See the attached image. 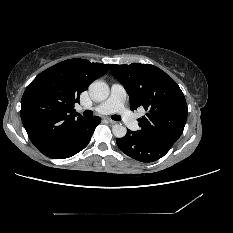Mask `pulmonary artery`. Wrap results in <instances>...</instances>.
Listing matches in <instances>:
<instances>
[{
	"label": "pulmonary artery",
	"instance_id": "1",
	"mask_svg": "<svg viewBox=\"0 0 233 233\" xmlns=\"http://www.w3.org/2000/svg\"><path fill=\"white\" fill-rule=\"evenodd\" d=\"M126 91L120 84H113L109 97L98 105L95 110L100 114L117 112L123 122L133 130L139 128L137 118L125 107Z\"/></svg>",
	"mask_w": 233,
	"mask_h": 233
}]
</instances>
